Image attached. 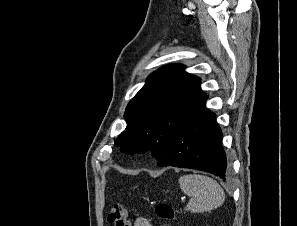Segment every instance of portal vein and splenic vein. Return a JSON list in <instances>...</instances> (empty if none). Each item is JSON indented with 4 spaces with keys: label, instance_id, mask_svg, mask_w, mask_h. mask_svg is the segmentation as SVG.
Masks as SVG:
<instances>
[{
    "label": "portal vein and splenic vein",
    "instance_id": "18ae733b",
    "mask_svg": "<svg viewBox=\"0 0 297 226\" xmlns=\"http://www.w3.org/2000/svg\"><path fill=\"white\" fill-rule=\"evenodd\" d=\"M183 202L185 201L184 198L181 199Z\"/></svg>",
    "mask_w": 297,
    "mask_h": 226
}]
</instances>
